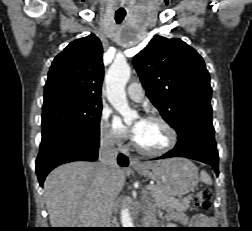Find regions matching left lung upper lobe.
I'll use <instances>...</instances> for the list:
<instances>
[{
    "mask_svg": "<svg viewBox=\"0 0 252 231\" xmlns=\"http://www.w3.org/2000/svg\"><path fill=\"white\" fill-rule=\"evenodd\" d=\"M133 64L147 96L176 131L194 119L212 120L209 73L184 41L156 36Z\"/></svg>",
    "mask_w": 252,
    "mask_h": 231,
    "instance_id": "5c2ea615",
    "label": "left lung upper lobe"
}]
</instances>
